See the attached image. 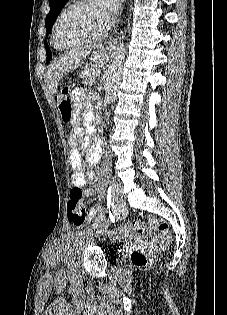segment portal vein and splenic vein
Segmentation results:
<instances>
[{
	"mask_svg": "<svg viewBox=\"0 0 227 315\" xmlns=\"http://www.w3.org/2000/svg\"><path fill=\"white\" fill-rule=\"evenodd\" d=\"M93 73L97 76L99 72L98 71H94Z\"/></svg>",
	"mask_w": 227,
	"mask_h": 315,
	"instance_id": "obj_1",
	"label": "portal vein and splenic vein"
}]
</instances>
